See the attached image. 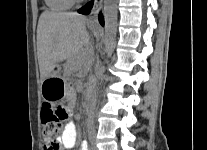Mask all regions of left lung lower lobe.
Listing matches in <instances>:
<instances>
[{"label":"left lung lower lobe","instance_id":"1","mask_svg":"<svg viewBox=\"0 0 207 150\" xmlns=\"http://www.w3.org/2000/svg\"><path fill=\"white\" fill-rule=\"evenodd\" d=\"M93 4H94V1H91V2L87 3L85 6L80 8L78 10V12L81 13V14H85V15L88 14L90 12V10L92 9ZM99 22L102 26L104 25V19H103L102 14H99Z\"/></svg>","mask_w":207,"mask_h":150}]
</instances>
